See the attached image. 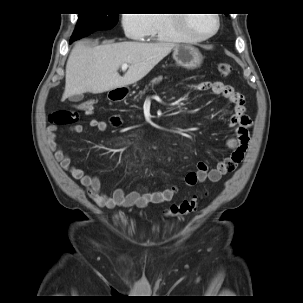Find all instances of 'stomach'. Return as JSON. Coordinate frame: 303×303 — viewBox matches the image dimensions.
<instances>
[{
    "instance_id": "stomach-1",
    "label": "stomach",
    "mask_w": 303,
    "mask_h": 303,
    "mask_svg": "<svg viewBox=\"0 0 303 303\" xmlns=\"http://www.w3.org/2000/svg\"><path fill=\"white\" fill-rule=\"evenodd\" d=\"M173 59L179 66L194 69L201 65L203 56L197 48L180 44L176 45L173 50Z\"/></svg>"
}]
</instances>
